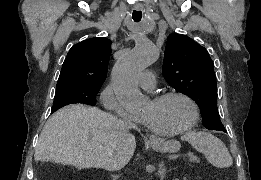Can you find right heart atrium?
Listing matches in <instances>:
<instances>
[{
  "instance_id": "1",
  "label": "right heart atrium",
  "mask_w": 261,
  "mask_h": 180,
  "mask_svg": "<svg viewBox=\"0 0 261 180\" xmlns=\"http://www.w3.org/2000/svg\"><path fill=\"white\" fill-rule=\"evenodd\" d=\"M101 103L104 108H112V112H116L118 117H125L129 120V125L125 127H133V122L123 106L119 104L118 98L114 95V87L112 84L107 85L101 93Z\"/></svg>"
}]
</instances>
